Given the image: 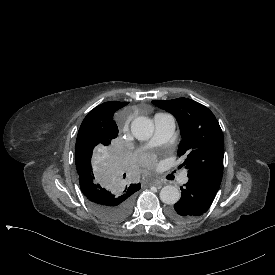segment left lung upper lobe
<instances>
[{"mask_svg": "<svg viewBox=\"0 0 275 275\" xmlns=\"http://www.w3.org/2000/svg\"><path fill=\"white\" fill-rule=\"evenodd\" d=\"M153 104L175 116L182 140L178 156L186 157L183 165L188 178L220 186L223 174L224 137L213 113L191 99L155 100Z\"/></svg>", "mask_w": 275, "mask_h": 275, "instance_id": "left-lung-upper-lobe-1", "label": "left lung upper lobe"}]
</instances>
